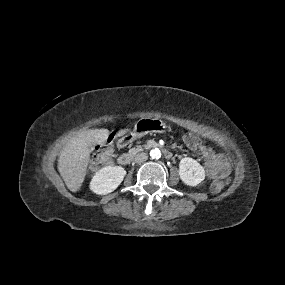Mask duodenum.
<instances>
[{"instance_id": "410a0bca", "label": "duodenum", "mask_w": 285, "mask_h": 285, "mask_svg": "<svg viewBox=\"0 0 285 285\" xmlns=\"http://www.w3.org/2000/svg\"><path fill=\"white\" fill-rule=\"evenodd\" d=\"M137 152H138V150H131V151L122 153L118 157V162L122 165L129 164L132 161V159L134 158V156L137 154ZM163 154H164L165 158H167V159H171L173 157L172 152L168 149H163Z\"/></svg>"}]
</instances>
